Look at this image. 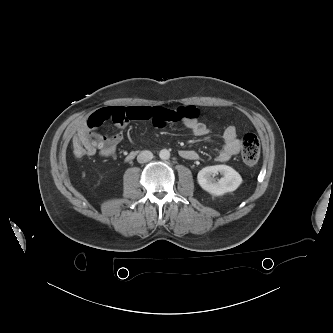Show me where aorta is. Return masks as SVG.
Returning a JSON list of instances; mask_svg holds the SVG:
<instances>
[{
	"label": "aorta",
	"mask_w": 333,
	"mask_h": 333,
	"mask_svg": "<svg viewBox=\"0 0 333 333\" xmlns=\"http://www.w3.org/2000/svg\"><path fill=\"white\" fill-rule=\"evenodd\" d=\"M159 157L162 159V160H167L170 158V152L169 150L167 149H162L160 152H159Z\"/></svg>",
	"instance_id": "aorta-1"
}]
</instances>
